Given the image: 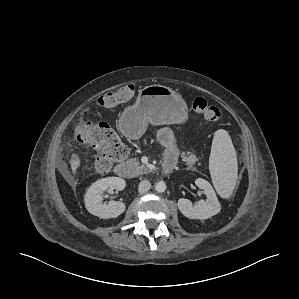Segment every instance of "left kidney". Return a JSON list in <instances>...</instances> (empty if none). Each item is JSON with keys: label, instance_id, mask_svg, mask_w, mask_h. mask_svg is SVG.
<instances>
[{"label": "left kidney", "instance_id": "5707ae66", "mask_svg": "<svg viewBox=\"0 0 299 299\" xmlns=\"http://www.w3.org/2000/svg\"><path fill=\"white\" fill-rule=\"evenodd\" d=\"M195 184L204 190L207 197L206 200H200L193 205L190 200L180 198L177 203L180 212L187 218L200 220L208 219L218 214L221 210V205L212 185L202 178L196 179Z\"/></svg>", "mask_w": 299, "mask_h": 299}]
</instances>
